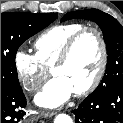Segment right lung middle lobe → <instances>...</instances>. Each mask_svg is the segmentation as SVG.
Wrapping results in <instances>:
<instances>
[{
	"mask_svg": "<svg viewBox=\"0 0 123 123\" xmlns=\"http://www.w3.org/2000/svg\"><path fill=\"white\" fill-rule=\"evenodd\" d=\"M57 18L55 13L6 12L1 14V88H21L15 56L20 45Z\"/></svg>",
	"mask_w": 123,
	"mask_h": 123,
	"instance_id": "1",
	"label": "right lung middle lobe"
}]
</instances>
